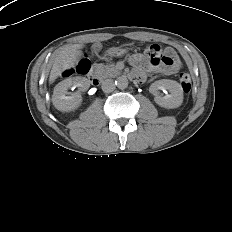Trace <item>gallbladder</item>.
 <instances>
[{
  "instance_id": "gallbladder-1",
  "label": "gallbladder",
  "mask_w": 232,
  "mask_h": 232,
  "mask_svg": "<svg viewBox=\"0 0 232 232\" xmlns=\"http://www.w3.org/2000/svg\"><path fill=\"white\" fill-rule=\"evenodd\" d=\"M102 48L101 44L99 43H95L93 46H92V49L94 52H97V51H100Z\"/></svg>"
}]
</instances>
